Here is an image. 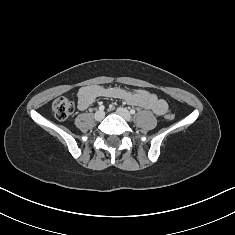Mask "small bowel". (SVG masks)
Masks as SVG:
<instances>
[{"label": "small bowel", "instance_id": "obj_1", "mask_svg": "<svg viewBox=\"0 0 235 235\" xmlns=\"http://www.w3.org/2000/svg\"><path fill=\"white\" fill-rule=\"evenodd\" d=\"M98 98L121 99L126 103L149 109L157 115H164L169 111L167 102L146 89L138 88L127 91L118 87H103L88 85L77 92V105L80 110L87 109Z\"/></svg>", "mask_w": 235, "mask_h": 235}]
</instances>
